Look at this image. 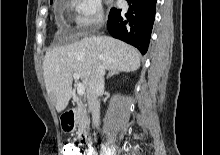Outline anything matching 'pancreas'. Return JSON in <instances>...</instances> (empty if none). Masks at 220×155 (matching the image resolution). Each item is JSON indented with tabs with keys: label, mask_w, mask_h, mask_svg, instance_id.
<instances>
[{
	"label": "pancreas",
	"mask_w": 220,
	"mask_h": 155,
	"mask_svg": "<svg viewBox=\"0 0 220 155\" xmlns=\"http://www.w3.org/2000/svg\"><path fill=\"white\" fill-rule=\"evenodd\" d=\"M76 123L78 124L79 131H82L89 126V118L83 104H79L78 106Z\"/></svg>",
	"instance_id": "cf45deb5"
}]
</instances>
